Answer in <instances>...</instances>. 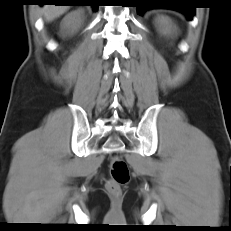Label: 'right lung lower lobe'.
Returning <instances> with one entry per match:
<instances>
[{
	"label": "right lung lower lobe",
	"mask_w": 231,
	"mask_h": 231,
	"mask_svg": "<svg viewBox=\"0 0 231 231\" xmlns=\"http://www.w3.org/2000/svg\"><path fill=\"white\" fill-rule=\"evenodd\" d=\"M41 3L40 5L46 4V3H55L56 5H89L92 6L94 11L97 10V5H91V4H81L80 2H89V1H81V0H39Z\"/></svg>",
	"instance_id": "1"
}]
</instances>
